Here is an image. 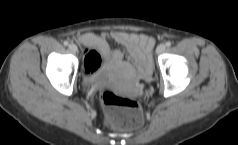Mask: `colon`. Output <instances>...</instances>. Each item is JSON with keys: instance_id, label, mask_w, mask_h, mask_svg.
Segmentation results:
<instances>
[{"instance_id": "1", "label": "colon", "mask_w": 238, "mask_h": 145, "mask_svg": "<svg viewBox=\"0 0 238 145\" xmlns=\"http://www.w3.org/2000/svg\"><path fill=\"white\" fill-rule=\"evenodd\" d=\"M101 58L94 50L85 52V70L94 72L100 65ZM108 122L120 129L137 128L143 121V112L138 101L117 95L111 90H102L99 95Z\"/></svg>"}]
</instances>
